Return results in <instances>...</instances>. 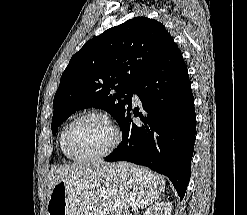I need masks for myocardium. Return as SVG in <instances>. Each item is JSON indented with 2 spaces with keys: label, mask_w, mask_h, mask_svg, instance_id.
Instances as JSON below:
<instances>
[{
  "label": "myocardium",
  "mask_w": 247,
  "mask_h": 215,
  "mask_svg": "<svg viewBox=\"0 0 247 215\" xmlns=\"http://www.w3.org/2000/svg\"><path fill=\"white\" fill-rule=\"evenodd\" d=\"M86 118H96V119H99L105 122L111 128L113 132V139L110 145L104 151L97 153V154L80 156V155H77L73 151L71 137H72V132H73L75 125L79 121L86 119ZM120 142H121V131H120L119 126L109 116H107L104 113L98 112V111H88V112H84L80 114L79 116H77L75 119H73L69 123L68 128L66 130V134H65L66 150L69 156L75 161H95V160L104 159L116 150Z\"/></svg>",
  "instance_id": "obj_1"
}]
</instances>
